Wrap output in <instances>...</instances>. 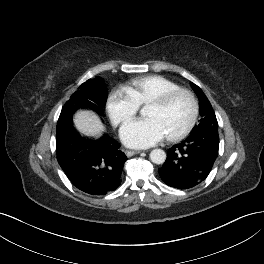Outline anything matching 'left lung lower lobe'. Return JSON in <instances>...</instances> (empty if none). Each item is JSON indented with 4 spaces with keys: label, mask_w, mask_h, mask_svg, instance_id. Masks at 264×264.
Here are the masks:
<instances>
[{
    "label": "left lung lower lobe",
    "mask_w": 264,
    "mask_h": 264,
    "mask_svg": "<svg viewBox=\"0 0 264 264\" xmlns=\"http://www.w3.org/2000/svg\"><path fill=\"white\" fill-rule=\"evenodd\" d=\"M219 149L218 129L205 127L191 132L183 142L168 150L159 175L163 182L178 189L201 183L210 173Z\"/></svg>",
    "instance_id": "1"
}]
</instances>
